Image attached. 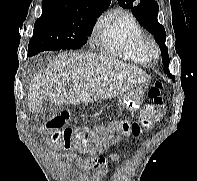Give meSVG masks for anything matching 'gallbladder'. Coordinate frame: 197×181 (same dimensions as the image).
<instances>
[{
  "mask_svg": "<svg viewBox=\"0 0 197 181\" xmlns=\"http://www.w3.org/2000/svg\"><path fill=\"white\" fill-rule=\"evenodd\" d=\"M53 107H54V104L49 99H44L42 101V108L40 112L42 114H45L46 112L52 110Z\"/></svg>",
  "mask_w": 197,
  "mask_h": 181,
  "instance_id": "bac80fb5",
  "label": "gallbladder"
}]
</instances>
